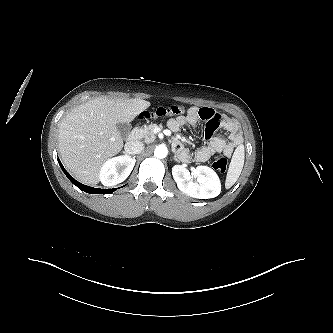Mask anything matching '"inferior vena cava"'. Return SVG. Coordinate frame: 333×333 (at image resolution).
<instances>
[{"mask_svg":"<svg viewBox=\"0 0 333 333\" xmlns=\"http://www.w3.org/2000/svg\"><path fill=\"white\" fill-rule=\"evenodd\" d=\"M125 152L130 155L139 154L144 150V144L140 141H129L125 144Z\"/></svg>","mask_w":333,"mask_h":333,"instance_id":"obj_1","label":"inferior vena cava"}]
</instances>
